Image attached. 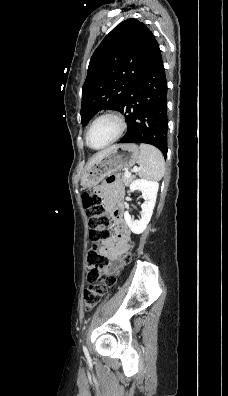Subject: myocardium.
I'll return each mask as SVG.
<instances>
[{"instance_id":"myocardium-1","label":"myocardium","mask_w":228,"mask_h":396,"mask_svg":"<svg viewBox=\"0 0 228 396\" xmlns=\"http://www.w3.org/2000/svg\"><path fill=\"white\" fill-rule=\"evenodd\" d=\"M103 118H112L113 120H115V122L118 125V130H117L116 135L108 143H106L102 147L96 148V147L91 146V144L89 142V136H90V132H91L93 126L95 125V123ZM126 128H127V123H126V120L122 114H120L117 111H112V110L103 112V113L99 114L96 118H94V120L89 125L87 132H86V137H85L86 144L93 150L105 149V148L109 147L110 145H112L113 143H115L116 141H118L124 134Z\"/></svg>"}]
</instances>
